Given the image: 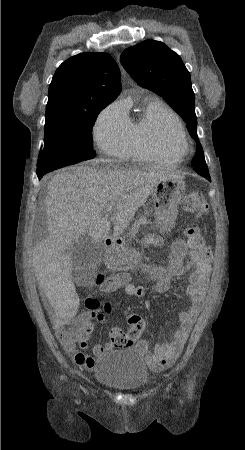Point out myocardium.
<instances>
[{"instance_id":"obj_1","label":"myocardium","mask_w":245,"mask_h":450,"mask_svg":"<svg viewBox=\"0 0 245 450\" xmlns=\"http://www.w3.org/2000/svg\"><path fill=\"white\" fill-rule=\"evenodd\" d=\"M166 120L171 121L173 123V125L175 126L178 134L180 135V137L182 138V140L184 142L185 151L183 153H181V154H178V153L174 152L173 149L167 143H165V141L163 140L161 134L158 133L157 131L155 133L156 144H157V146L160 149H162L165 152L171 154L175 159H182L186 155H188L189 152H190V141H189V138H188V136H187V134H186L182 124L179 121H177L175 118H172V117L167 118Z\"/></svg>"}]
</instances>
